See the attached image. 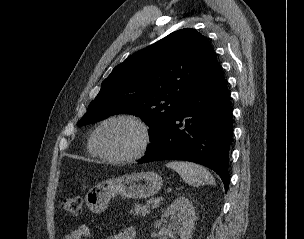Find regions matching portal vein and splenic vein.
<instances>
[{
  "mask_svg": "<svg viewBox=\"0 0 304 239\" xmlns=\"http://www.w3.org/2000/svg\"><path fill=\"white\" fill-rule=\"evenodd\" d=\"M160 201H161L160 199H156L152 204V208L158 207V205L160 204Z\"/></svg>",
  "mask_w": 304,
  "mask_h": 239,
  "instance_id": "1",
  "label": "portal vein and splenic vein"
}]
</instances>
